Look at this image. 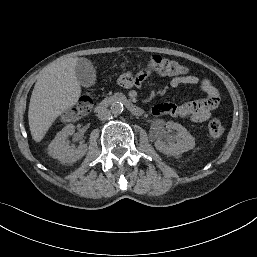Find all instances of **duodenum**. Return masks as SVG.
Returning a JSON list of instances; mask_svg holds the SVG:
<instances>
[{"label":"duodenum","mask_w":257,"mask_h":257,"mask_svg":"<svg viewBox=\"0 0 257 257\" xmlns=\"http://www.w3.org/2000/svg\"><path fill=\"white\" fill-rule=\"evenodd\" d=\"M114 102H121L123 103L127 109L135 116H141L143 114L142 108H140L136 103H134L131 99L128 97L122 95V94H114L110 97H106L103 100H101L98 104L96 109L97 110H103L108 108L112 103Z\"/></svg>","instance_id":"410a0bca"}]
</instances>
